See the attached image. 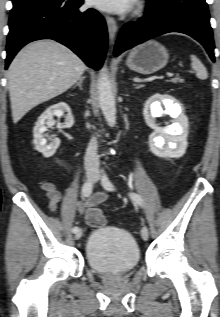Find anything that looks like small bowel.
Masks as SVG:
<instances>
[{"mask_svg": "<svg viewBox=\"0 0 220 317\" xmlns=\"http://www.w3.org/2000/svg\"><path fill=\"white\" fill-rule=\"evenodd\" d=\"M42 189L46 193L48 199V208L52 212L57 211L58 203L61 199L60 192L56 189L55 185L51 182H43ZM108 197V194L105 192H98L89 197L85 202L77 201L73 204V207L80 213L85 214L89 210L101 202L105 201Z\"/></svg>", "mask_w": 220, "mask_h": 317, "instance_id": "obj_1", "label": "small bowel"}]
</instances>
